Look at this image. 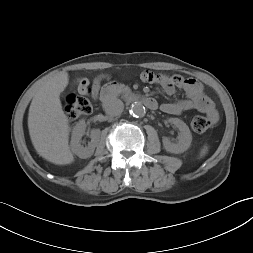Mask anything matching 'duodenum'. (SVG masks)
<instances>
[{"label":"duodenum","instance_id":"1","mask_svg":"<svg viewBox=\"0 0 253 253\" xmlns=\"http://www.w3.org/2000/svg\"><path fill=\"white\" fill-rule=\"evenodd\" d=\"M118 90V84L116 82H110L101 92V101L107 102ZM126 99L129 101H138L144 104L148 109L155 110L158 107L157 101L152 97H146L139 94H128Z\"/></svg>","mask_w":253,"mask_h":253}]
</instances>
